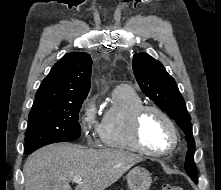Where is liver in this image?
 <instances>
[{"instance_id": "liver-1", "label": "liver", "mask_w": 221, "mask_h": 190, "mask_svg": "<svg viewBox=\"0 0 221 190\" xmlns=\"http://www.w3.org/2000/svg\"><path fill=\"white\" fill-rule=\"evenodd\" d=\"M141 161V156L121 149L52 144L26 160L25 190H72L70 182L75 176L82 179L75 190H104Z\"/></svg>"}]
</instances>
